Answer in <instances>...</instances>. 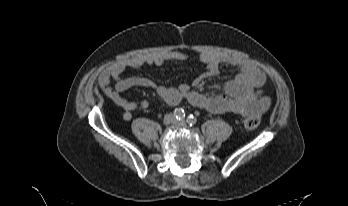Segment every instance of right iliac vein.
<instances>
[{
    "label": "right iliac vein",
    "mask_w": 348,
    "mask_h": 206,
    "mask_svg": "<svg viewBox=\"0 0 348 206\" xmlns=\"http://www.w3.org/2000/svg\"><path fill=\"white\" fill-rule=\"evenodd\" d=\"M175 122V118L172 114H167L165 117H164V123L165 124H170V123H174Z\"/></svg>",
    "instance_id": "right-iliac-vein-1"
}]
</instances>
